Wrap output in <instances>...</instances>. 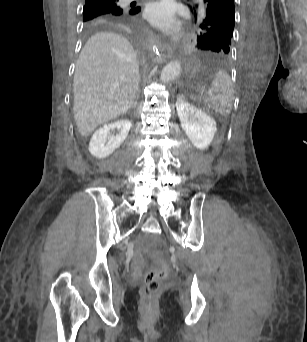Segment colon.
<instances>
[{"label": "colon", "mask_w": 307, "mask_h": 342, "mask_svg": "<svg viewBox=\"0 0 307 342\" xmlns=\"http://www.w3.org/2000/svg\"><path fill=\"white\" fill-rule=\"evenodd\" d=\"M169 266H162L161 261H156L154 269H146L145 281H142L141 294L144 295V307H155L157 288H161L162 279L168 276Z\"/></svg>", "instance_id": "obj_1"}]
</instances>
